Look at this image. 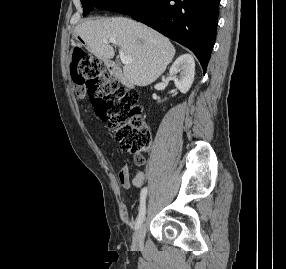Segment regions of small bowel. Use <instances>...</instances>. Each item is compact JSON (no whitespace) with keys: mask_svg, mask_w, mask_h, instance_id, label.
<instances>
[{"mask_svg":"<svg viewBox=\"0 0 286 269\" xmlns=\"http://www.w3.org/2000/svg\"><path fill=\"white\" fill-rule=\"evenodd\" d=\"M79 94L81 96H83L82 91H80ZM145 176H146L145 175V171L144 170H139L135 174L133 179L130 181V179H129V169H128L127 166H122L120 171H119V173H118L119 182L126 189L130 188L131 186H134V187L142 186V184L145 181Z\"/></svg>","mask_w":286,"mask_h":269,"instance_id":"1","label":"small bowel"}]
</instances>
